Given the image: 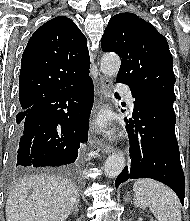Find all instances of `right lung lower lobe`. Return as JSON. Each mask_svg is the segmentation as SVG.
Segmentation results:
<instances>
[{
	"label": "right lung lower lobe",
	"instance_id": "right-lung-lower-lobe-1",
	"mask_svg": "<svg viewBox=\"0 0 190 221\" xmlns=\"http://www.w3.org/2000/svg\"><path fill=\"white\" fill-rule=\"evenodd\" d=\"M94 100L90 77L51 93L20 112L11 165L25 169L73 163L87 142L89 115Z\"/></svg>",
	"mask_w": 190,
	"mask_h": 221
}]
</instances>
